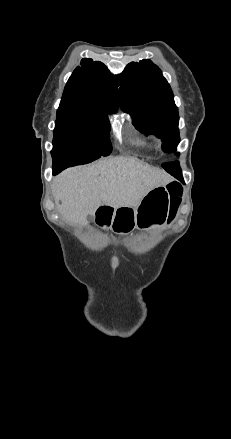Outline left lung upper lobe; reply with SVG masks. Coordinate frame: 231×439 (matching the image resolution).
<instances>
[{
  "instance_id": "obj_1",
  "label": "left lung upper lobe",
  "mask_w": 231,
  "mask_h": 439,
  "mask_svg": "<svg viewBox=\"0 0 231 439\" xmlns=\"http://www.w3.org/2000/svg\"><path fill=\"white\" fill-rule=\"evenodd\" d=\"M118 78L122 85L119 89L121 108L131 114L134 125L141 132L161 138L164 152L176 151L180 141L178 109L161 70L151 60L144 59L129 63ZM162 167L179 178L174 163H164Z\"/></svg>"
}]
</instances>
